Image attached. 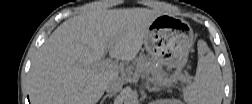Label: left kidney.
I'll return each mask as SVG.
<instances>
[{"label":"left kidney","mask_w":252,"mask_h":104,"mask_svg":"<svg viewBox=\"0 0 252 104\" xmlns=\"http://www.w3.org/2000/svg\"><path fill=\"white\" fill-rule=\"evenodd\" d=\"M164 102L165 103H178V101H175V100L174 101H172V100H165Z\"/></svg>","instance_id":"left-kidney-1"}]
</instances>
